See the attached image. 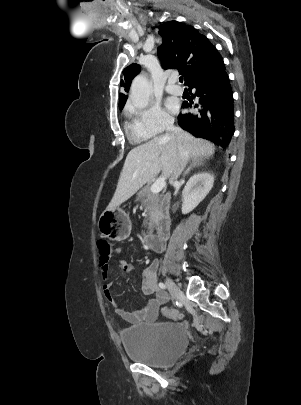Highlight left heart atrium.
<instances>
[{
    "mask_svg": "<svg viewBox=\"0 0 301 405\" xmlns=\"http://www.w3.org/2000/svg\"><path fill=\"white\" fill-rule=\"evenodd\" d=\"M167 107H168L170 110H172V111H175V110L177 109V105H176V103L173 102V101H168V102H167Z\"/></svg>",
    "mask_w": 301,
    "mask_h": 405,
    "instance_id": "left-heart-atrium-1",
    "label": "left heart atrium"
}]
</instances>
